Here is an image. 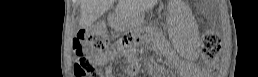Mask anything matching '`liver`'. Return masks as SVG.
<instances>
[{
    "instance_id": "liver-1",
    "label": "liver",
    "mask_w": 258,
    "mask_h": 77,
    "mask_svg": "<svg viewBox=\"0 0 258 77\" xmlns=\"http://www.w3.org/2000/svg\"><path fill=\"white\" fill-rule=\"evenodd\" d=\"M113 4L114 0H81V27L87 28L91 26L99 17L110 9ZM116 13L122 18H127L131 13L128 2L125 0H118Z\"/></svg>"
}]
</instances>
